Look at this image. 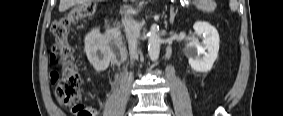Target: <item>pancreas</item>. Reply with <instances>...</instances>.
<instances>
[{
  "instance_id": "pancreas-1",
  "label": "pancreas",
  "mask_w": 283,
  "mask_h": 116,
  "mask_svg": "<svg viewBox=\"0 0 283 116\" xmlns=\"http://www.w3.org/2000/svg\"><path fill=\"white\" fill-rule=\"evenodd\" d=\"M202 10H203V11H206V12H211V11L214 10V7L206 6V7H203Z\"/></svg>"
}]
</instances>
